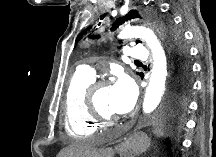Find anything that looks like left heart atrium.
<instances>
[{"label": "left heart atrium", "mask_w": 216, "mask_h": 157, "mask_svg": "<svg viewBox=\"0 0 216 157\" xmlns=\"http://www.w3.org/2000/svg\"><path fill=\"white\" fill-rule=\"evenodd\" d=\"M110 105L117 114L128 113L136 101V89L132 81L119 75L114 84L109 87Z\"/></svg>", "instance_id": "obj_1"}]
</instances>
